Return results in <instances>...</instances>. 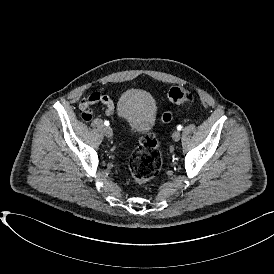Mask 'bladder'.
I'll use <instances>...</instances> for the list:
<instances>
[{"label": "bladder", "mask_w": 274, "mask_h": 274, "mask_svg": "<svg viewBox=\"0 0 274 274\" xmlns=\"http://www.w3.org/2000/svg\"><path fill=\"white\" fill-rule=\"evenodd\" d=\"M117 116L131 132L147 133L155 123V102L148 92L140 89H130L119 98Z\"/></svg>", "instance_id": "bladder-1"}]
</instances>
